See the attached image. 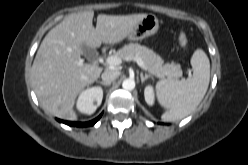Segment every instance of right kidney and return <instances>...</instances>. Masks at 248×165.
<instances>
[{
    "instance_id": "right-kidney-1",
    "label": "right kidney",
    "mask_w": 248,
    "mask_h": 165,
    "mask_svg": "<svg viewBox=\"0 0 248 165\" xmlns=\"http://www.w3.org/2000/svg\"><path fill=\"white\" fill-rule=\"evenodd\" d=\"M103 89L90 87L82 91L77 100V109L84 114L91 115L101 105Z\"/></svg>"
}]
</instances>
